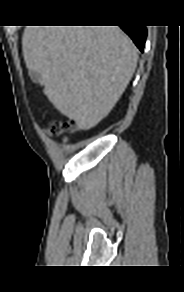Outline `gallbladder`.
I'll return each instance as SVG.
<instances>
[{
    "instance_id": "bac80fb5",
    "label": "gallbladder",
    "mask_w": 184,
    "mask_h": 292,
    "mask_svg": "<svg viewBox=\"0 0 184 292\" xmlns=\"http://www.w3.org/2000/svg\"><path fill=\"white\" fill-rule=\"evenodd\" d=\"M30 77L34 83H38L41 79V75L36 71H30Z\"/></svg>"
}]
</instances>
